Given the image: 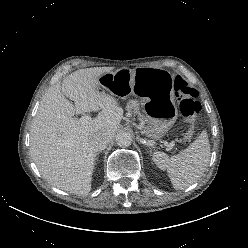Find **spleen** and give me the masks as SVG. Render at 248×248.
Wrapping results in <instances>:
<instances>
[{"label":"spleen","instance_id":"1","mask_svg":"<svg viewBox=\"0 0 248 248\" xmlns=\"http://www.w3.org/2000/svg\"><path fill=\"white\" fill-rule=\"evenodd\" d=\"M210 144L206 131L180 154L169 157L164 152L153 153V161L161 170H167L175 189L183 190L194 184L205 172L210 160Z\"/></svg>","mask_w":248,"mask_h":248}]
</instances>
